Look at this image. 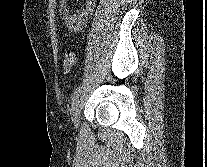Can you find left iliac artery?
<instances>
[{"mask_svg": "<svg viewBox=\"0 0 207 167\" xmlns=\"http://www.w3.org/2000/svg\"><path fill=\"white\" fill-rule=\"evenodd\" d=\"M80 94V86L75 89V91L71 95L72 105L75 104Z\"/></svg>", "mask_w": 207, "mask_h": 167, "instance_id": "44dca946", "label": "left iliac artery"}]
</instances>
